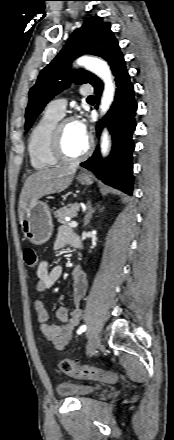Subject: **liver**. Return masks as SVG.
<instances>
[{
	"instance_id": "liver-1",
	"label": "liver",
	"mask_w": 174,
	"mask_h": 440,
	"mask_svg": "<svg viewBox=\"0 0 174 440\" xmlns=\"http://www.w3.org/2000/svg\"><path fill=\"white\" fill-rule=\"evenodd\" d=\"M75 168L41 169L30 175L22 188L19 198V221L22 225L24 215L43 196L59 193L68 188L73 180Z\"/></svg>"
}]
</instances>
